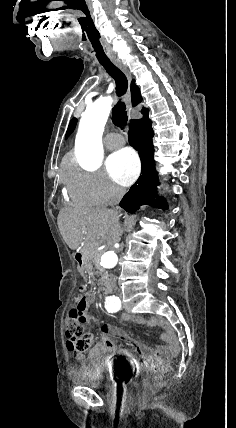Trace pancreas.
I'll list each match as a JSON object with an SVG mask.
<instances>
[{
	"mask_svg": "<svg viewBox=\"0 0 236 428\" xmlns=\"http://www.w3.org/2000/svg\"><path fill=\"white\" fill-rule=\"evenodd\" d=\"M88 248H90V246H85V248H83L82 250V252H84L85 254L86 262H88L87 266H93L94 264V266L98 268L102 252H98V254H95V252H92V250H88Z\"/></svg>",
	"mask_w": 236,
	"mask_h": 428,
	"instance_id": "1",
	"label": "pancreas"
}]
</instances>
